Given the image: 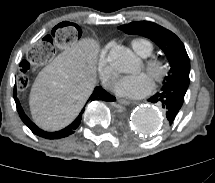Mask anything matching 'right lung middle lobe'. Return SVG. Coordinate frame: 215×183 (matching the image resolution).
Wrapping results in <instances>:
<instances>
[{
  "instance_id": "right-lung-middle-lobe-1",
  "label": "right lung middle lobe",
  "mask_w": 215,
  "mask_h": 183,
  "mask_svg": "<svg viewBox=\"0 0 215 183\" xmlns=\"http://www.w3.org/2000/svg\"><path fill=\"white\" fill-rule=\"evenodd\" d=\"M65 25H69V23H65ZM57 27H59V26H56L55 29H56Z\"/></svg>"
}]
</instances>
